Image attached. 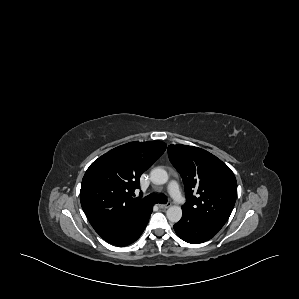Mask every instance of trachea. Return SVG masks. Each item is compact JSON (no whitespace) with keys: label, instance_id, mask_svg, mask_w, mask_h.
Instances as JSON below:
<instances>
[{"label":"trachea","instance_id":"obj_1","mask_svg":"<svg viewBox=\"0 0 299 299\" xmlns=\"http://www.w3.org/2000/svg\"><path fill=\"white\" fill-rule=\"evenodd\" d=\"M144 200L151 202V203H159V204H166L167 198L163 195H156L154 193L149 194L148 196L144 197Z\"/></svg>","mask_w":299,"mask_h":299}]
</instances>
